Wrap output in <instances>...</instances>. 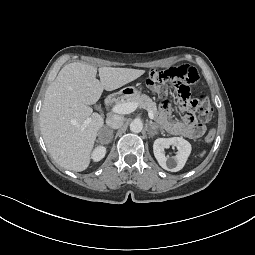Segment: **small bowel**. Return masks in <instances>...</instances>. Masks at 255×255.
<instances>
[{
    "label": "small bowel",
    "mask_w": 255,
    "mask_h": 255,
    "mask_svg": "<svg viewBox=\"0 0 255 255\" xmlns=\"http://www.w3.org/2000/svg\"><path fill=\"white\" fill-rule=\"evenodd\" d=\"M160 120L169 133L190 139L201 137L205 131L204 126L197 122L193 113H186L181 120H171L167 106H164Z\"/></svg>",
    "instance_id": "1"
}]
</instances>
